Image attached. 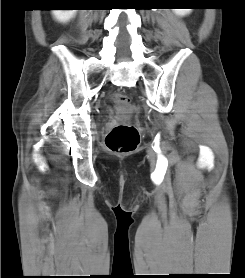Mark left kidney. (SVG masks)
Wrapping results in <instances>:
<instances>
[{"instance_id":"5707ae66","label":"left kidney","mask_w":245,"mask_h":278,"mask_svg":"<svg viewBox=\"0 0 245 278\" xmlns=\"http://www.w3.org/2000/svg\"><path fill=\"white\" fill-rule=\"evenodd\" d=\"M173 11H175V13L179 16H185L189 14L192 9H173Z\"/></svg>"}]
</instances>
